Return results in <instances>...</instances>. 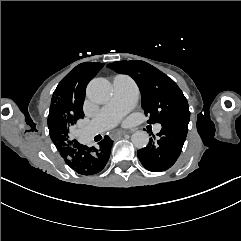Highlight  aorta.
<instances>
[{
	"label": "aorta",
	"mask_w": 241,
	"mask_h": 241,
	"mask_svg": "<svg viewBox=\"0 0 241 241\" xmlns=\"http://www.w3.org/2000/svg\"><path fill=\"white\" fill-rule=\"evenodd\" d=\"M111 95V84L105 78H95L87 86V96L95 103H106ZM131 142L136 148L142 149L148 145L149 135L146 131H136L131 136Z\"/></svg>",
	"instance_id": "1"
}]
</instances>
